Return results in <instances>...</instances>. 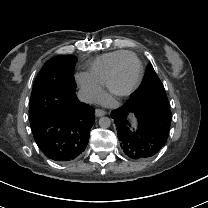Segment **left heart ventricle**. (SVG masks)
Here are the masks:
<instances>
[{"instance_id": "b2bd125f", "label": "left heart ventricle", "mask_w": 208, "mask_h": 208, "mask_svg": "<svg viewBox=\"0 0 208 208\" xmlns=\"http://www.w3.org/2000/svg\"><path fill=\"white\" fill-rule=\"evenodd\" d=\"M138 71L139 64L136 60L128 62L120 71L119 86L123 88L130 86L137 78Z\"/></svg>"}]
</instances>
